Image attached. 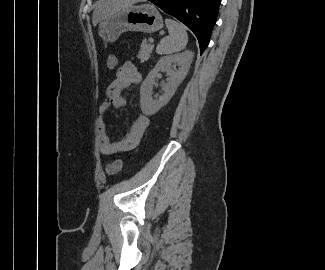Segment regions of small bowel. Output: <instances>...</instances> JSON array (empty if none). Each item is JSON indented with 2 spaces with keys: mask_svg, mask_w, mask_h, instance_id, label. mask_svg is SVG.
I'll use <instances>...</instances> for the list:
<instances>
[{
  "mask_svg": "<svg viewBox=\"0 0 325 270\" xmlns=\"http://www.w3.org/2000/svg\"><path fill=\"white\" fill-rule=\"evenodd\" d=\"M140 81L141 75L137 68L134 64L128 62L117 68L116 77L107 88L106 99L99 107L100 116L98 119V146L100 152L106 156H112L134 149L138 145L149 124L148 118L144 115H140L132 122L125 135L119 141L111 142L107 133L106 121L103 117V114L110 107H124L127 101L126 98L122 96V92L127 88L139 84Z\"/></svg>",
  "mask_w": 325,
  "mask_h": 270,
  "instance_id": "c3829d8e",
  "label": "small bowel"
}]
</instances>
